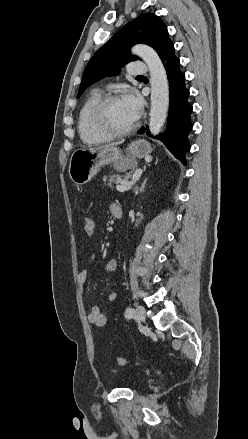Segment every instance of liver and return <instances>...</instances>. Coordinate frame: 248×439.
Listing matches in <instances>:
<instances>
[{
	"instance_id": "obj_1",
	"label": "liver",
	"mask_w": 248,
	"mask_h": 439,
	"mask_svg": "<svg viewBox=\"0 0 248 439\" xmlns=\"http://www.w3.org/2000/svg\"><path fill=\"white\" fill-rule=\"evenodd\" d=\"M119 144H121V142H117V143H112V144H109V145H112V146H117V145H119Z\"/></svg>"
}]
</instances>
